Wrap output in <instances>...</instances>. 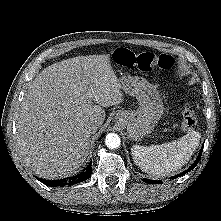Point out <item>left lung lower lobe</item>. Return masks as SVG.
Segmentation results:
<instances>
[{"mask_svg": "<svg viewBox=\"0 0 221 221\" xmlns=\"http://www.w3.org/2000/svg\"><path fill=\"white\" fill-rule=\"evenodd\" d=\"M203 146H204V144H203ZM202 151H203V147H202L201 152H200V154H199V156H198V158H197V161H195V162L193 163V165L189 167V169H187L186 171H184V172L180 173L179 175L174 176V177H172V178H177V177L183 176L185 173H187V172L193 170V169L196 167V165L198 164V161H199V159H200V157H201ZM144 181H145L146 183H152V184H160V183L162 182V181H160V180H159V181H156V180H150V179H146V180L144 179Z\"/></svg>", "mask_w": 221, "mask_h": 221, "instance_id": "0a47b994", "label": "left lung lower lobe"}]
</instances>
